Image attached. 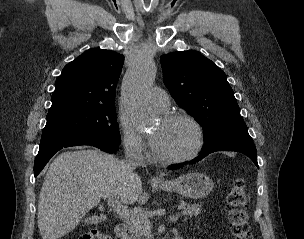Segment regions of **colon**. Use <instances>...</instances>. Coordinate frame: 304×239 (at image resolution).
<instances>
[{
    "instance_id": "1",
    "label": "colon",
    "mask_w": 304,
    "mask_h": 239,
    "mask_svg": "<svg viewBox=\"0 0 304 239\" xmlns=\"http://www.w3.org/2000/svg\"><path fill=\"white\" fill-rule=\"evenodd\" d=\"M248 196L243 178H235L226 200V210L230 224V230L235 239H253L248 216ZM79 239H109V237L98 231H91Z\"/></svg>"
}]
</instances>
